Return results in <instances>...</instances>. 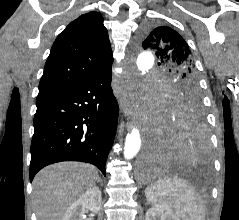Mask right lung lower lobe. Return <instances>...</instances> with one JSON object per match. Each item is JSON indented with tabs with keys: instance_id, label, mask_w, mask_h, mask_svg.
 <instances>
[{
	"instance_id": "obj_1",
	"label": "right lung lower lobe",
	"mask_w": 239,
	"mask_h": 220,
	"mask_svg": "<svg viewBox=\"0 0 239 220\" xmlns=\"http://www.w3.org/2000/svg\"><path fill=\"white\" fill-rule=\"evenodd\" d=\"M111 75L110 66L79 84L38 94L30 181L40 169L60 161L91 163L106 176L118 118Z\"/></svg>"
}]
</instances>
